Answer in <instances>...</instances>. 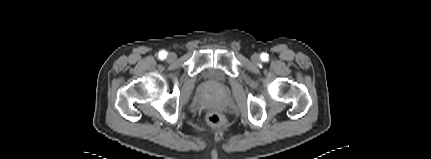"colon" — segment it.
<instances>
[{
	"label": "colon",
	"instance_id": "1",
	"mask_svg": "<svg viewBox=\"0 0 431 159\" xmlns=\"http://www.w3.org/2000/svg\"><path fill=\"white\" fill-rule=\"evenodd\" d=\"M206 120L207 123L212 127H221L224 123L223 116L216 111L209 112L207 114Z\"/></svg>",
	"mask_w": 431,
	"mask_h": 159
}]
</instances>
